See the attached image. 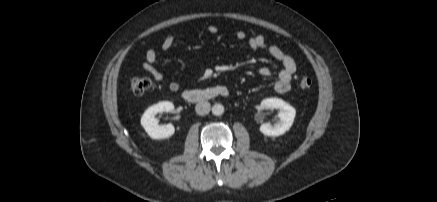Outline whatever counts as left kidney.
I'll use <instances>...</instances> for the list:
<instances>
[{
  "label": "left kidney",
  "instance_id": "left-kidney-1",
  "mask_svg": "<svg viewBox=\"0 0 437 202\" xmlns=\"http://www.w3.org/2000/svg\"><path fill=\"white\" fill-rule=\"evenodd\" d=\"M261 109H277L279 110V122L271 125L270 123H263L260 126V132L266 136H280L288 131L296 115V110L290 104L279 98H267L262 100Z\"/></svg>",
  "mask_w": 437,
  "mask_h": 202
}]
</instances>
